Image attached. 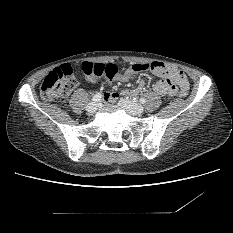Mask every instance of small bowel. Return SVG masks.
<instances>
[{
	"label": "small bowel",
	"mask_w": 233,
	"mask_h": 233,
	"mask_svg": "<svg viewBox=\"0 0 233 233\" xmlns=\"http://www.w3.org/2000/svg\"><path fill=\"white\" fill-rule=\"evenodd\" d=\"M155 64L158 70L155 71V74L159 76L160 79L154 83L153 89L159 96H175L179 88L188 86V82L183 71L170 64H164L161 62H157ZM112 79L119 81L126 80V78L120 74H117ZM144 86V82H141L139 86L134 89L123 90L120 93L116 91L105 93L104 99L107 102H115L122 95L135 97L144 89Z\"/></svg>",
	"instance_id": "obj_1"
}]
</instances>
